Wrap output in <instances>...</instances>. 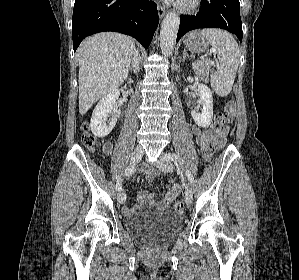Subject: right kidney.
<instances>
[{
    "label": "right kidney",
    "instance_id": "obj_1",
    "mask_svg": "<svg viewBox=\"0 0 299 280\" xmlns=\"http://www.w3.org/2000/svg\"><path fill=\"white\" fill-rule=\"evenodd\" d=\"M120 92L118 89L108 93L96 105L90 123L92 133L99 138L107 136L115 127L117 122V100ZM108 114L111 118L106 123Z\"/></svg>",
    "mask_w": 299,
    "mask_h": 280
}]
</instances>
